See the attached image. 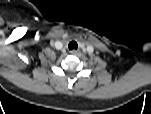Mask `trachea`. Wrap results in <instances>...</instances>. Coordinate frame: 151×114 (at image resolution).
Segmentation results:
<instances>
[{
  "instance_id": "trachea-1",
  "label": "trachea",
  "mask_w": 151,
  "mask_h": 114,
  "mask_svg": "<svg viewBox=\"0 0 151 114\" xmlns=\"http://www.w3.org/2000/svg\"><path fill=\"white\" fill-rule=\"evenodd\" d=\"M69 50H76L78 48V44L76 41H71L68 45Z\"/></svg>"
}]
</instances>
